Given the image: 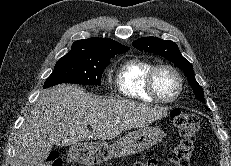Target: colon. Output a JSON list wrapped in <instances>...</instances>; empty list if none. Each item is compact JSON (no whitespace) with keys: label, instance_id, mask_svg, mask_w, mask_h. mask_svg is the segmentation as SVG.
Listing matches in <instances>:
<instances>
[{"label":"colon","instance_id":"5ec220e1","mask_svg":"<svg viewBox=\"0 0 231 166\" xmlns=\"http://www.w3.org/2000/svg\"><path fill=\"white\" fill-rule=\"evenodd\" d=\"M170 114L180 140L170 151L168 163L170 166H189L194 142L200 128L199 118L193 113L180 110H172ZM48 161L50 166H62V160L58 152H52ZM132 166H157V161L155 159H144L134 162Z\"/></svg>","mask_w":231,"mask_h":166}]
</instances>
